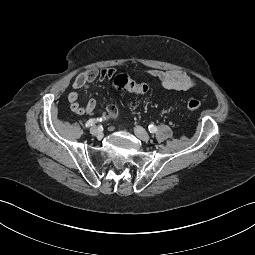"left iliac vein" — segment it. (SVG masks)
Segmentation results:
<instances>
[{
	"label": "left iliac vein",
	"instance_id": "left-iliac-vein-1",
	"mask_svg": "<svg viewBox=\"0 0 255 255\" xmlns=\"http://www.w3.org/2000/svg\"><path fill=\"white\" fill-rule=\"evenodd\" d=\"M135 135L142 141H149L150 135L140 126L134 128Z\"/></svg>",
	"mask_w": 255,
	"mask_h": 255
}]
</instances>
